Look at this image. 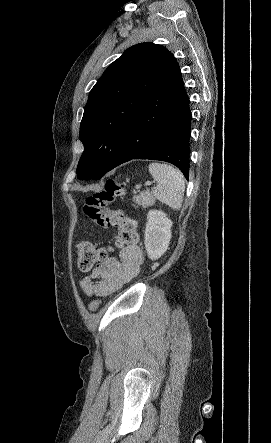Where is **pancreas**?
I'll return each instance as SVG.
<instances>
[{
  "instance_id": "cf45deb5",
  "label": "pancreas",
  "mask_w": 271,
  "mask_h": 443,
  "mask_svg": "<svg viewBox=\"0 0 271 443\" xmlns=\"http://www.w3.org/2000/svg\"><path fill=\"white\" fill-rule=\"evenodd\" d=\"M133 202L138 204V206L148 208V206H153V204H155V198H153L149 190H145V192H140L139 196H134Z\"/></svg>"
}]
</instances>
